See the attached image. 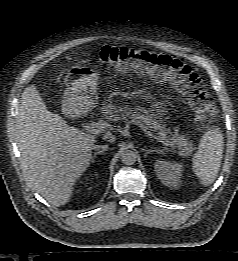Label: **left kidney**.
Segmentation results:
<instances>
[{"mask_svg":"<svg viewBox=\"0 0 238 261\" xmlns=\"http://www.w3.org/2000/svg\"><path fill=\"white\" fill-rule=\"evenodd\" d=\"M158 179L166 186L179 187L183 166L176 162L158 159L154 163Z\"/></svg>","mask_w":238,"mask_h":261,"instance_id":"1","label":"left kidney"}]
</instances>
